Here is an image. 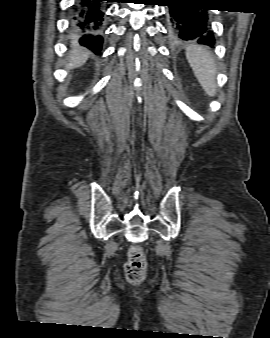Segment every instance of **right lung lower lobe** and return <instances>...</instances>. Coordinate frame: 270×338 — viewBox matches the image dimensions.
Segmentation results:
<instances>
[{"instance_id": "1", "label": "right lung lower lobe", "mask_w": 270, "mask_h": 338, "mask_svg": "<svg viewBox=\"0 0 270 338\" xmlns=\"http://www.w3.org/2000/svg\"><path fill=\"white\" fill-rule=\"evenodd\" d=\"M104 1L111 0H76L72 7L71 28L79 37L81 45L99 54L103 38L101 32L104 20Z\"/></svg>"}]
</instances>
